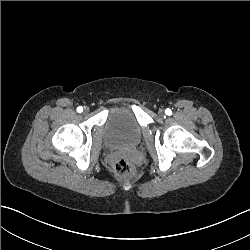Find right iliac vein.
I'll use <instances>...</instances> for the list:
<instances>
[{"label":"right iliac vein","mask_w":250,"mask_h":250,"mask_svg":"<svg viewBox=\"0 0 250 250\" xmlns=\"http://www.w3.org/2000/svg\"><path fill=\"white\" fill-rule=\"evenodd\" d=\"M84 112H85V113H88V112H89V108H88V107H85V108H84Z\"/></svg>","instance_id":"1"}]
</instances>
